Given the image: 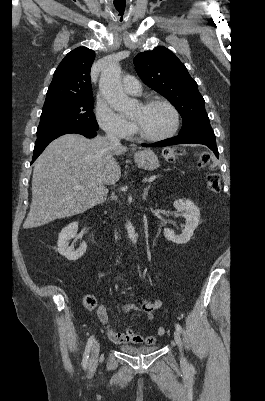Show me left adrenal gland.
<instances>
[{
  "label": "left adrenal gland",
  "instance_id": "a2214340",
  "mask_svg": "<svg viewBox=\"0 0 265 401\" xmlns=\"http://www.w3.org/2000/svg\"><path fill=\"white\" fill-rule=\"evenodd\" d=\"M149 188H150V186H146V188H144V190H143V196H142L143 201H146V196L148 194Z\"/></svg>",
  "mask_w": 265,
  "mask_h": 401
}]
</instances>
